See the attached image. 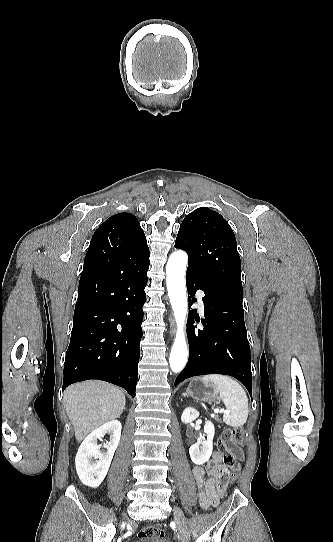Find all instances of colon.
Instances as JSON below:
<instances>
[{
	"label": "colon",
	"instance_id": "obj_1",
	"mask_svg": "<svg viewBox=\"0 0 333 542\" xmlns=\"http://www.w3.org/2000/svg\"><path fill=\"white\" fill-rule=\"evenodd\" d=\"M245 432L242 428L226 427L222 437L218 441L219 451L223 455L224 463L229 467L232 476H226L221 479L219 489L221 492L226 490V487L231 479L240 471L241 446L243 444ZM138 537L144 542L158 541L163 539V530L156 526L150 525L142 529Z\"/></svg>",
	"mask_w": 333,
	"mask_h": 542
}]
</instances>
